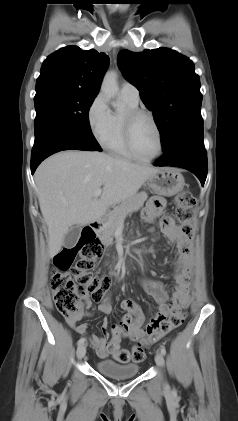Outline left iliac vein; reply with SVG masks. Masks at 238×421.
Returning a JSON list of instances; mask_svg holds the SVG:
<instances>
[{"label":"left iliac vein","instance_id":"left-iliac-vein-1","mask_svg":"<svg viewBox=\"0 0 238 421\" xmlns=\"http://www.w3.org/2000/svg\"><path fill=\"white\" fill-rule=\"evenodd\" d=\"M155 362L159 367L164 366V357L161 353H157L155 356Z\"/></svg>","mask_w":238,"mask_h":421}]
</instances>
